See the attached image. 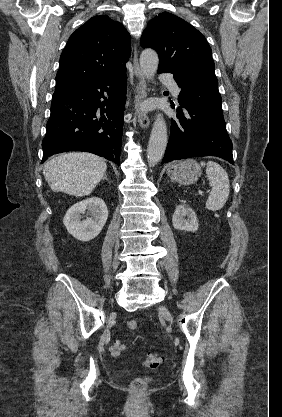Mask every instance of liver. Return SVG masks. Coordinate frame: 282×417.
<instances>
[{"label": "liver", "instance_id": "liver-1", "mask_svg": "<svg viewBox=\"0 0 282 417\" xmlns=\"http://www.w3.org/2000/svg\"><path fill=\"white\" fill-rule=\"evenodd\" d=\"M104 158L91 152H63L44 164L43 174L54 192L90 194L106 174Z\"/></svg>", "mask_w": 282, "mask_h": 417}]
</instances>
